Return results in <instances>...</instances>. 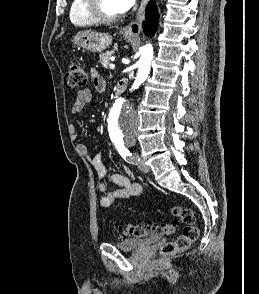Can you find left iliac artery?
Listing matches in <instances>:
<instances>
[{"label": "left iliac artery", "mask_w": 259, "mask_h": 294, "mask_svg": "<svg viewBox=\"0 0 259 294\" xmlns=\"http://www.w3.org/2000/svg\"><path fill=\"white\" fill-rule=\"evenodd\" d=\"M115 146L119 152V154L125 159L126 157H130L129 160L130 162L134 163L139 161V159L136 156H133L132 153H130V151L125 148V146L123 144H119V143H115Z\"/></svg>", "instance_id": "left-iliac-artery-1"}]
</instances>
